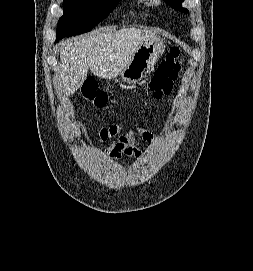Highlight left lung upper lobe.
<instances>
[{
	"mask_svg": "<svg viewBox=\"0 0 253 271\" xmlns=\"http://www.w3.org/2000/svg\"><path fill=\"white\" fill-rule=\"evenodd\" d=\"M184 0H167V2L173 7L175 8L176 10H179V11H182V12H188L187 9L183 8L181 6V3L183 2Z\"/></svg>",
	"mask_w": 253,
	"mask_h": 271,
	"instance_id": "5c2ea615",
	"label": "left lung upper lobe"
}]
</instances>
